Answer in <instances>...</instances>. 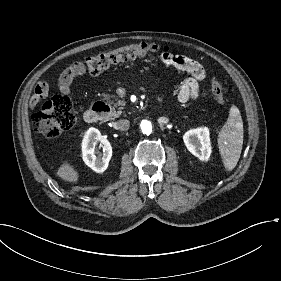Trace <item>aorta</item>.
Segmentation results:
<instances>
[{"label":"aorta","mask_w":281,"mask_h":281,"mask_svg":"<svg viewBox=\"0 0 281 281\" xmlns=\"http://www.w3.org/2000/svg\"><path fill=\"white\" fill-rule=\"evenodd\" d=\"M141 130L144 134H147V135L151 134V132H152L151 122L146 121V120L142 121L141 122Z\"/></svg>","instance_id":"1"}]
</instances>
